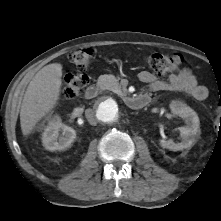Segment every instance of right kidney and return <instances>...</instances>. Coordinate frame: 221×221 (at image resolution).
Returning <instances> with one entry per match:
<instances>
[{"instance_id":"ca27d5eb","label":"right kidney","mask_w":221,"mask_h":221,"mask_svg":"<svg viewBox=\"0 0 221 221\" xmlns=\"http://www.w3.org/2000/svg\"><path fill=\"white\" fill-rule=\"evenodd\" d=\"M75 138V130L63 124L60 117L55 115L44 129L42 143L49 151L62 150L69 147Z\"/></svg>"}]
</instances>
